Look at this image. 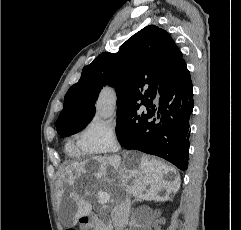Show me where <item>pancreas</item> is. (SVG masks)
Returning <instances> with one entry per match:
<instances>
[{"instance_id":"1","label":"pancreas","mask_w":241,"mask_h":230,"mask_svg":"<svg viewBox=\"0 0 241 230\" xmlns=\"http://www.w3.org/2000/svg\"><path fill=\"white\" fill-rule=\"evenodd\" d=\"M93 230H109V227L107 224L104 223V221L98 220L95 223Z\"/></svg>"}]
</instances>
